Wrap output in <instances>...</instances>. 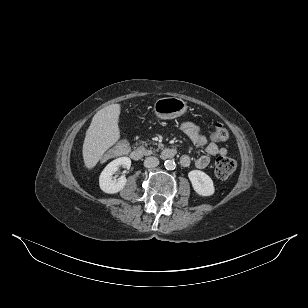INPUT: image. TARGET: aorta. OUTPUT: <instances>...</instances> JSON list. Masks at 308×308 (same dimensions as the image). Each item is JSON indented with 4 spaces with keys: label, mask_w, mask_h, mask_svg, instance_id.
I'll return each instance as SVG.
<instances>
[{
    "label": "aorta",
    "mask_w": 308,
    "mask_h": 308,
    "mask_svg": "<svg viewBox=\"0 0 308 308\" xmlns=\"http://www.w3.org/2000/svg\"><path fill=\"white\" fill-rule=\"evenodd\" d=\"M164 166L167 170H173L175 169L176 164L174 160H166Z\"/></svg>",
    "instance_id": "obj_1"
}]
</instances>
